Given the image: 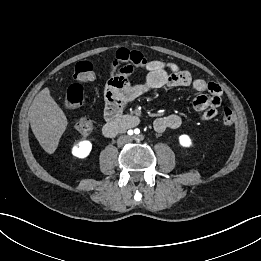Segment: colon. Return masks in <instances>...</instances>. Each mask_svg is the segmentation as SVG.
<instances>
[{
    "instance_id": "colon-1",
    "label": "colon",
    "mask_w": 261,
    "mask_h": 261,
    "mask_svg": "<svg viewBox=\"0 0 261 261\" xmlns=\"http://www.w3.org/2000/svg\"><path fill=\"white\" fill-rule=\"evenodd\" d=\"M113 63L120 67L131 70L133 67H145L148 58L138 51H129L120 49L116 52ZM74 78L78 82L91 81L94 78V65L89 61H81L75 65ZM84 101V89L80 83L72 84L65 96V106L68 108L79 107ZM222 120L225 125H232L235 120L234 113L229 108H224L222 112ZM93 128L92 121L87 117H80L75 123V129L81 135H87Z\"/></svg>"
}]
</instances>
